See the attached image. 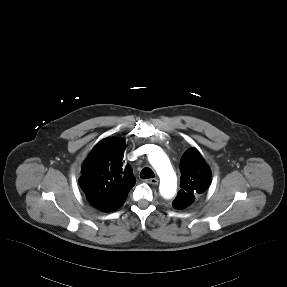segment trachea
Listing matches in <instances>:
<instances>
[{"instance_id":"obj_1","label":"trachea","mask_w":287,"mask_h":287,"mask_svg":"<svg viewBox=\"0 0 287 287\" xmlns=\"http://www.w3.org/2000/svg\"><path fill=\"white\" fill-rule=\"evenodd\" d=\"M140 177L143 178V179H150V178H154L155 177V174L154 172L148 168V167H145L141 173H140Z\"/></svg>"}]
</instances>
